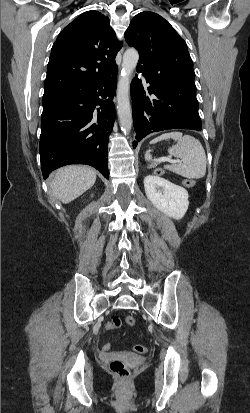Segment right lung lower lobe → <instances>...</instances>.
<instances>
[{
    "label": "right lung lower lobe",
    "mask_w": 250,
    "mask_h": 413,
    "mask_svg": "<svg viewBox=\"0 0 250 413\" xmlns=\"http://www.w3.org/2000/svg\"><path fill=\"white\" fill-rule=\"evenodd\" d=\"M117 72L86 88L43 96L39 152L44 179L68 164L93 166L109 178L107 144L115 120Z\"/></svg>",
    "instance_id": "1"
}]
</instances>
